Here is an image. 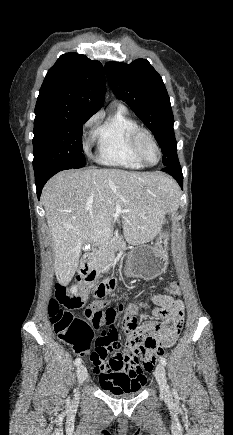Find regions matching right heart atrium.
Listing matches in <instances>:
<instances>
[{"label": "right heart atrium", "mask_w": 233, "mask_h": 435, "mask_svg": "<svg viewBox=\"0 0 233 435\" xmlns=\"http://www.w3.org/2000/svg\"><path fill=\"white\" fill-rule=\"evenodd\" d=\"M93 121H94V118L89 119V120L87 121V125L92 124Z\"/></svg>", "instance_id": "obj_1"}]
</instances>
